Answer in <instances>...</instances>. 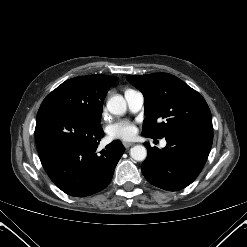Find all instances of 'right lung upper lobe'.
<instances>
[{"label":"right lung upper lobe","mask_w":247,"mask_h":247,"mask_svg":"<svg viewBox=\"0 0 247 247\" xmlns=\"http://www.w3.org/2000/svg\"><path fill=\"white\" fill-rule=\"evenodd\" d=\"M92 76L102 85L105 92H108L110 87H112L118 80L117 77H110L107 75H92Z\"/></svg>","instance_id":"cb5924a9"}]
</instances>
